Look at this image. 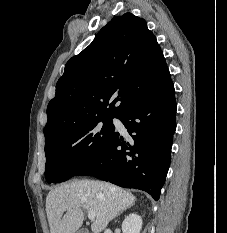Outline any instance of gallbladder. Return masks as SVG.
Here are the masks:
<instances>
[{"label": "gallbladder", "mask_w": 227, "mask_h": 233, "mask_svg": "<svg viewBox=\"0 0 227 233\" xmlns=\"http://www.w3.org/2000/svg\"><path fill=\"white\" fill-rule=\"evenodd\" d=\"M76 233H87L86 229H80L79 231H77Z\"/></svg>", "instance_id": "bac80fb5"}]
</instances>
